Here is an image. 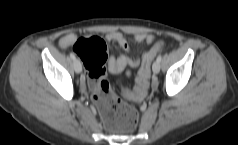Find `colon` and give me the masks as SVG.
<instances>
[{
  "label": "colon",
  "instance_id": "5ec220e1",
  "mask_svg": "<svg viewBox=\"0 0 238 145\" xmlns=\"http://www.w3.org/2000/svg\"><path fill=\"white\" fill-rule=\"evenodd\" d=\"M161 44L147 52L142 59L137 85L134 90H125L131 100H142L148 89L151 63L160 51ZM74 52L84 63L92 98L105 126L113 132H127L136 128L137 111L121 101L112 91L105 78L107 61L106 45L99 37H79L73 44Z\"/></svg>",
  "mask_w": 238,
  "mask_h": 145
}]
</instances>
